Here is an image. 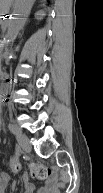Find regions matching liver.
<instances>
[{
	"instance_id": "liver-1",
	"label": "liver",
	"mask_w": 103,
	"mask_h": 193,
	"mask_svg": "<svg viewBox=\"0 0 103 193\" xmlns=\"http://www.w3.org/2000/svg\"><path fill=\"white\" fill-rule=\"evenodd\" d=\"M12 2H13V0H1L0 1L1 13H7L9 11V8H10Z\"/></svg>"
}]
</instances>
